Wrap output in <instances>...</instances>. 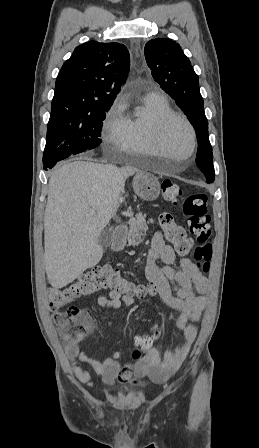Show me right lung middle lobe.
I'll return each mask as SVG.
<instances>
[{
  "instance_id": "1",
  "label": "right lung middle lobe",
  "mask_w": 259,
  "mask_h": 448,
  "mask_svg": "<svg viewBox=\"0 0 259 448\" xmlns=\"http://www.w3.org/2000/svg\"><path fill=\"white\" fill-rule=\"evenodd\" d=\"M109 109L99 107L78 113H51L43 164L58 162L97 147L101 142L102 121Z\"/></svg>"
}]
</instances>
